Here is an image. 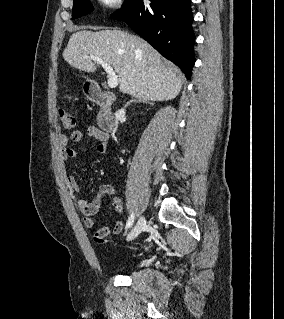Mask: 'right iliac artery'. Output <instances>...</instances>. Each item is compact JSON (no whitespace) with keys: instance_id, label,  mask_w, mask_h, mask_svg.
Instances as JSON below:
<instances>
[{"instance_id":"obj_1","label":"right iliac artery","mask_w":284,"mask_h":319,"mask_svg":"<svg viewBox=\"0 0 284 319\" xmlns=\"http://www.w3.org/2000/svg\"><path fill=\"white\" fill-rule=\"evenodd\" d=\"M134 213H132L131 215H130V217L128 218V220H127V223H126V229L127 228H130L131 226H132V224H133V222H134Z\"/></svg>"}]
</instances>
